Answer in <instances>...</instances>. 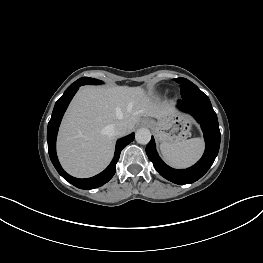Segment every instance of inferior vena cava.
Wrapping results in <instances>:
<instances>
[{
    "mask_svg": "<svg viewBox=\"0 0 263 263\" xmlns=\"http://www.w3.org/2000/svg\"><path fill=\"white\" fill-rule=\"evenodd\" d=\"M106 129L113 135V136H123L126 134V125L125 123L118 121L115 124L108 125Z\"/></svg>",
    "mask_w": 263,
    "mask_h": 263,
    "instance_id": "inferior-vena-cava-1",
    "label": "inferior vena cava"
}]
</instances>
